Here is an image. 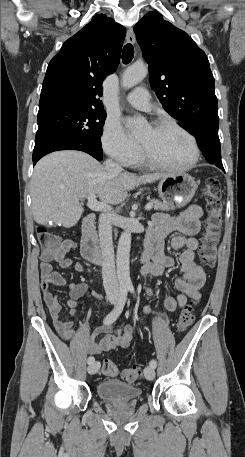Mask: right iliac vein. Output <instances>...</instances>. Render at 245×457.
Instances as JSON below:
<instances>
[{
	"mask_svg": "<svg viewBox=\"0 0 245 457\" xmlns=\"http://www.w3.org/2000/svg\"><path fill=\"white\" fill-rule=\"evenodd\" d=\"M116 302H117V297L111 296V303L116 304ZM99 368H100V362L96 361V362L89 364L87 370H88L89 374L93 375L99 370Z\"/></svg>",
	"mask_w": 245,
	"mask_h": 457,
	"instance_id": "obj_1",
	"label": "right iliac vein"
}]
</instances>
